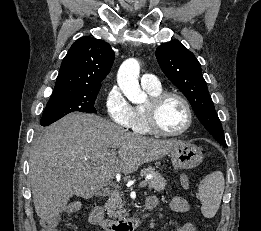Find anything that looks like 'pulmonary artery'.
<instances>
[{"label": "pulmonary artery", "instance_id": "e3ab8cb5", "mask_svg": "<svg viewBox=\"0 0 261 231\" xmlns=\"http://www.w3.org/2000/svg\"><path fill=\"white\" fill-rule=\"evenodd\" d=\"M141 84L143 88L148 89H158L161 87L157 77L152 73H144L141 77Z\"/></svg>", "mask_w": 261, "mask_h": 231}]
</instances>
